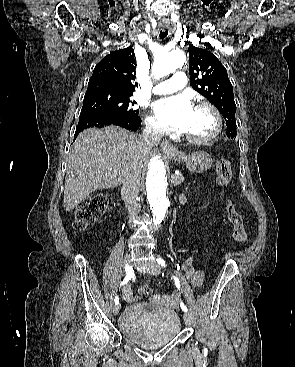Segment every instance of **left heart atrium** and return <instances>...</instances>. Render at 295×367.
<instances>
[{
	"label": "left heart atrium",
	"mask_w": 295,
	"mask_h": 367,
	"mask_svg": "<svg viewBox=\"0 0 295 367\" xmlns=\"http://www.w3.org/2000/svg\"><path fill=\"white\" fill-rule=\"evenodd\" d=\"M193 109L190 97L185 94L161 99L154 104V110L163 124L178 131L186 129Z\"/></svg>",
	"instance_id": "1"
}]
</instances>
